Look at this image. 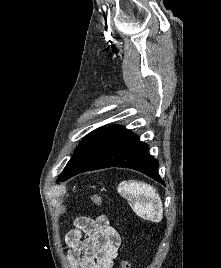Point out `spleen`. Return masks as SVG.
<instances>
[{
    "label": "spleen",
    "instance_id": "1",
    "mask_svg": "<svg viewBox=\"0 0 221 268\" xmlns=\"http://www.w3.org/2000/svg\"><path fill=\"white\" fill-rule=\"evenodd\" d=\"M122 195H127L133 211L141 218L160 222L163 217V205L159 194L149 184L142 181H123L117 188Z\"/></svg>",
    "mask_w": 221,
    "mask_h": 268
}]
</instances>
